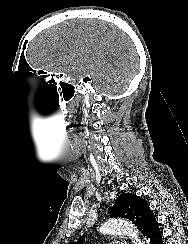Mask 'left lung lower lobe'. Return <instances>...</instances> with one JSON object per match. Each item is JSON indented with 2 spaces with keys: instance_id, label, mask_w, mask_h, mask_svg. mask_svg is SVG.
Masks as SVG:
<instances>
[{
  "instance_id": "obj_1",
  "label": "left lung lower lobe",
  "mask_w": 188,
  "mask_h": 244,
  "mask_svg": "<svg viewBox=\"0 0 188 244\" xmlns=\"http://www.w3.org/2000/svg\"><path fill=\"white\" fill-rule=\"evenodd\" d=\"M142 234L150 244H163L161 231L153 212H150L145 220Z\"/></svg>"
}]
</instances>
